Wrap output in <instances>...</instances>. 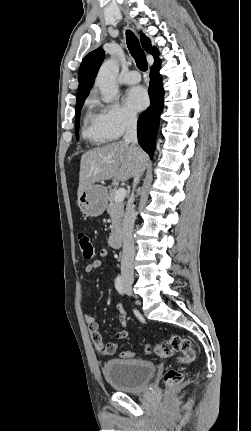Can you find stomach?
Returning <instances> with one entry per match:
<instances>
[{"instance_id": "obj_1", "label": "stomach", "mask_w": 251, "mask_h": 431, "mask_svg": "<svg viewBox=\"0 0 251 431\" xmlns=\"http://www.w3.org/2000/svg\"><path fill=\"white\" fill-rule=\"evenodd\" d=\"M106 204L107 189L102 185H93L78 197L80 211L88 217L100 216Z\"/></svg>"}]
</instances>
